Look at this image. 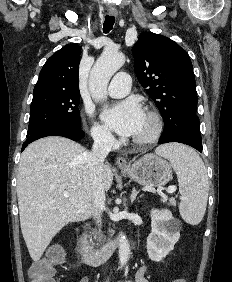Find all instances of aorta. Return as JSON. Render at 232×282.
<instances>
[{"label":"aorta","mask_w":232,"mask_h":282,"mask_svg":"<svg viewBox=\"0 0 232 282\" xmlns=\"http://www.w3.org/2000/svg\"><path fill=\"white\" fill-rule=\"evenodd\" d=\"M125 63V56L117 50H105L94 64L89 76V89L95 100L107 98V86L113 76ZM130 257V246L126 236L119 235V268Z\"/></svg>","instance_id":"obj_1"}]
</instances>
